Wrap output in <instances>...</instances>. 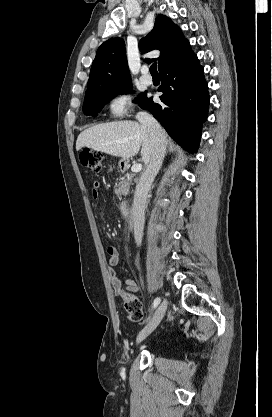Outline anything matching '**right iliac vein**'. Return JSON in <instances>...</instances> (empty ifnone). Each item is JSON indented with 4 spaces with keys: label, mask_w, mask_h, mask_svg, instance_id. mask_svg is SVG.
Listing matches in <instances>:
<instances>
[{
    "label": "right iliac vein",
    "mask_w": 272,
    "mask_h": 417,
    "mask_svg": "<svg viewBox=\"0 0 272 417\" xmlns=\"http://www.w3.org/2000/svg\"><path fill=\"white\" fill-rule=\"evenodd\" d=\"M167 305L168 302L166 299H164L156 309L149 323L139 332L136 339L137 344L141 343L147 336H149L155 330V328L158 326L166 312Z\"/></svg>",
    "instance_id": "63e3f726"
}]
</instances>
